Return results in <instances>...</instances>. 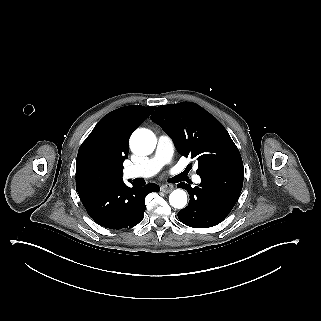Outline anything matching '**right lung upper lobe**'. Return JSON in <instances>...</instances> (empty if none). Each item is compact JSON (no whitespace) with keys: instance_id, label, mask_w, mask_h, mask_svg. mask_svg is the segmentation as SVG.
<instances>
[{"instance_id":"obj_1","label":"right lung upper lobe","mask_w":321,"mask_h":321,"mask_svg":"<svg viewBox=\"0 0 321 321\" xmlns=\"http://www.w3.org/2000/svg\"><path fill=\"white\" fill-rule=\"evenodd\" d=\"M154 109L126 106L108 113L97 123L78 150L77 192L123 182V162L128 157L130 135Z\"/></svg>"}]
</instances>
